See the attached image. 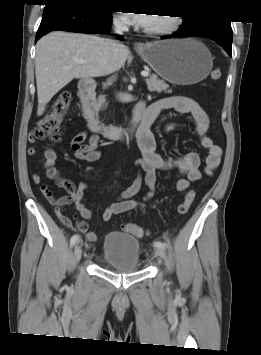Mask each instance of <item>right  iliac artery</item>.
Listing matches in <instances>:
<instances>
[{
    "mask_svg": "<svg viewBox=\"0 0 261 355\" xmlns=\"http://www.w3.org/2000/svg\"><path fill=\"white\" fill-rule=\"evenodd\" d=\"M79 235H77V234H75V235H73L72 237H71V239H70V244H71V246H74L77 242H78V240H79Z\"/></svg>",
    "mask_w": 261,
    "mask_h": 355,
    "instance_id": "1",
    "label": "right iliac artery"
}]
</instances>
